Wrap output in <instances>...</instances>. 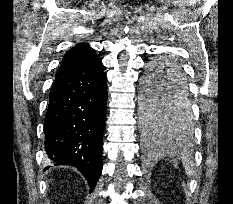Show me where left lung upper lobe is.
<instances>
[{
	"mask_svg": "<svg viewBox=\"0 0 233 204\" xmlns=\"http://www.w3.org/2000/svg\"><path fill=\"white\" fill-rule=\"evenodd\" d=\"M171 68L184 75L181 67L175 61L166 58L155 61L149 73L144 77L143 122L146 126L189 131L193 123V113L187 82H180L177 89H171L158 82L161 73Z\"/></svg>",
	"mask_w": 233,
	"mask_h": 204,
	"instance_id": "left-lung-upper-lobe-1",
	"label": "left lung upper lobe"
}]
</instances>
